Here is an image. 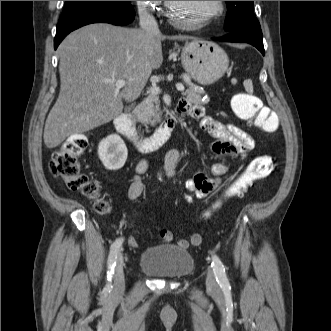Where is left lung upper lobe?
<instances>
[{
	"mask_svg": "<svg viewBox=\"0 0 331 331\" xmlns=\"http://www.w3.org/2000/svg\"><path fill=\"white\" fill-rule=\"evenodd\" d=\"M228 13L225 19V31L260 27L253 13V1H225Z\"/></svg>",
	"mask_w": 331,
	"mask_h": 331,
	"instance_id": "obj_1",
	"label": "left lung upper lobe"
}]
</instances>
